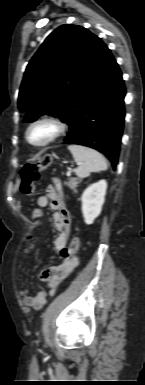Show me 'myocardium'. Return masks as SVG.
<instances>
[{"label":"myocardium","mask_w":145,"mask_h":385,"mask_svg":"<svg viewBox=\"0 0 145 385\" xmlns=\"http://www.w3.org/2000/svg\"><path fill=\"white\" fill-rule=\"evenodd\" d=\"M39 125H48L53 129V132L50 135V137L47 138L45 141L40 143H35L30 139V133L34 128H36ZM66 129H67V126L62 120L54 116L45 115V116L36 118L28 125L25 132V138L27 143L30 146L35 148H43L52 144L53 142L58 140L61 136H63L64 133L66 132Z\"/></svg>","instance_id":"obj_1"}]
</instances>
